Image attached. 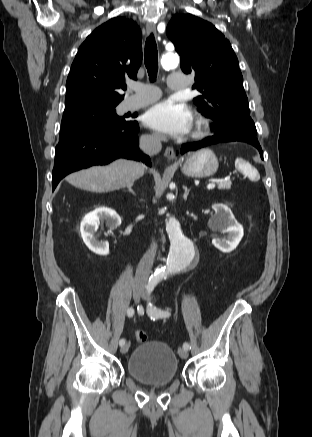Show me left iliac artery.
Instances as JSON below:
<instances>
[{"mask_svg": "<svg viewBox=\"0 0 312 437\" xmlns=\"http://www.w3.org/2000/svg\"><path fill=\"white\" fill-rule=\"evenodd\" d=\"M158 279L157 278H150L148 285H147V291L148 293H151L154 289V287L156 286V284L158 283ZM148 315L153 318V319H157V318H165V317H169L170 316V312L169 311H165V310H161L158 309L156 307H154L151 303H149V307H148ZM183 348L185 349H189L190 345L189 343L185 342L183 344Z\"/></svg>", "mask_w": 312, "mask_h": 437, "instance_id": "44dca946", "label": "left iliac artery"}]
</instances>
